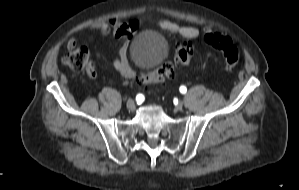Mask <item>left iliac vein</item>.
Wrapping results in <instances>:
<instances>
[{"label":"left iliac vein","instance_id":"obj_1","mask_svg":"<svg viewBox=\"0 0 299 190\" xmlns=\"http://www.w3.org/2000/svg\"><path fill=\"white\" fill-rule=\"evenodd\" d=\"M175 109H176L177 111L182 110V109H183V103H182V102L177 103L176 106H175Z\"/></svg>","mask_w":299,"mask_h":190}]
</instances>
